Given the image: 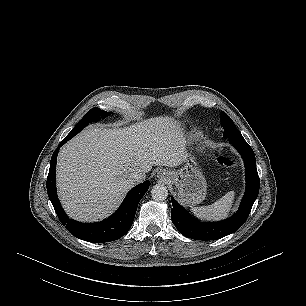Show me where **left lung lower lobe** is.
I'll return each mask as SVG.
<instances>
[{"mask_svg": "<svg viewBox=\"0 0 306 306\" xmlns=\"http://www.w3.org/2000/svg\"><path fill=\"white\" fill-rule=\"evenodd\" d=\"M230 143L241 154L246 173V191L239 209L230 218L219 222H199L190 217L172 197V222L179 232L195 240H217L239 229L247 220L251 208L258 196L260 180L256 168V159L252 148L245 139H230Z\"/></svg>", "mask_w": 306, "mask_h": 306, "instance_id": "1", "label": "left lung lower lobe"}]
</instances>
